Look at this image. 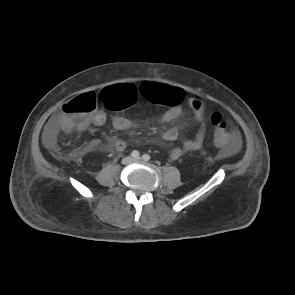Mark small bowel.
Segmentation results:
<instances>
[{"label": "small bowel", "instance_id": "obj_1", "mask_svg": "<svg viewBox=\"0 0 295 295\" xmlns=\"http://www.w3.org/2000/svg\"><path fill=\"white\" fill-rule=\"evenodd\" d=\"M177 89L183 100L184 98V91ZM181 100V102H182ZM181 102L173 105L170 107L166 112L162 114V116L157 120L156 125L163 126L169 124L175 120H177L183 113V108L181 106ZM190 107L193 111L194 120L198 125V131L196 135L189 140H186L183 143L182 147H175L170 150L169 157L172 160H177L184 154L193 151H202L203 144L205 139V120H206V107L204 103L198 99H193L190 101ZM107 117L103 111H95L91 113L78 127V130L83 131L88 129L91 126H102L106 123ZM112 126L114 129L118 131H126L132 130L142 127H149V125H140L137 124L123 116H114L111 120ZM59 116L53 117L46 125L44 132H43V143L47 149L53 150L56 146L57 134L59 131ZM162 138L169 141H174L178 138L179 133L176 128H169L162 132ZM240 145L239 135L234 145L228 146L229 152H235L238 150ZM101 146V143L98 141H93L88 146V149H95ZM109 146L114 148L116 151L121 152L125 150L127 144L122 139L111 138L109 141Z\"/></svg>", "mask_w": 295, "mask_h": 295}]
</instances>
